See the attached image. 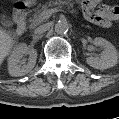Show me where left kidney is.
Here are the masks:
<instances>
[{
    "mask_svg": "<svg viewBox=\"0 0 119 119\" xmlns=\"http://www.w3.org/2000/svg\"><path fill=\"white\" fill-rule=\"evenodd\" d=\"M94 44L96 46H101L104 50L101 52L100 56L88 57L86 59V62L89 66L104 70L111 68L117 64V50L109 41L101 37H96L94 39Z\"/></svg>",
    "mask_w": 119,
    "mask_h": 119,
    "instance_id": "obj_1",
    "label": "left kidney"
}]
</instances>
